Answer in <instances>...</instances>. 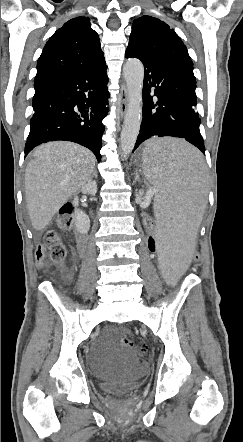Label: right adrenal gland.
Segmentation results:
<instances>
[{
	"instance_id": "2a0ac1e0",
	"label": "right adrenal gland",
	"mask_w": 243,
	"mask_h": 442,
	"mask_svg": "<svg viewBox=\"0 0 243 442\" xmlns=\"http://www.w3.org/2000/svg\"><path fill=\"white\" fill-rule=\"evenodd\" d=\"M93 176H95V178H97L96 170H94V172H93V174H92V177H93Z\"/></svg>"
}]
</instances>
